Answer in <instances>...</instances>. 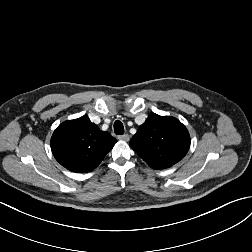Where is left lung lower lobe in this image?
<instances>
[{"mask_svg": "<svg viewBox=\"0 0 252 252\" xmlns=\"http://www.w3.org/2000/svg\"><path fill=\"white\" fill-rule=\"evenodd\" d=\"M168 167H170V166H163V167H161L159 169H164V168H168Z\"/></svg>", "mask_w": 252, "mask_h": 252, "instance_id": "obj_1", "label": "left lung lower lobe"}]
</instances>
